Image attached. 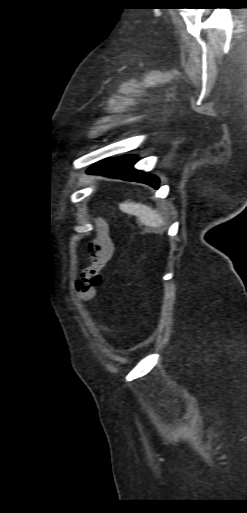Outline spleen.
I'll use <instances>...</instances> for the list:
<instances>
[{"label": "spleen", "mask_w": 247, "mask_h": 513, "mask_svg": "<svg viewBox=\"0 0 247 513\" xmlns=\"http://www.w3.org/2000/svg\"><path fill=\"white\" fill-rule=\"evenodd\" d=\"M120 209L125 213L137 216L139 221L148 227H157L162 222L161 216L156 210L142 203L126 201L120 204Z\"/></svg>", "instance_id": "obj_1"}]
</instances>
